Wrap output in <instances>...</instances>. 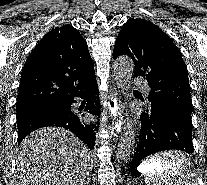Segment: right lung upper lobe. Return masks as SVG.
Masks as SVG:
<instances>
[{"mask_svg": "<svg viewBox=\"0 0 207 185\" xmlns=\"http://www.w3.org/2000/svg\"><path fill=\"white\" fill-rule=\"evenodd\" d=\"M95 78L88 46L67 24L48 32L24 64L16 111L55 105L78 84Z\"/></svg>", "mask_w": 207, "mask_h": 185, "instance_id": "cb5924a9", "label": "right lung upper lobe"}]
</instances>
